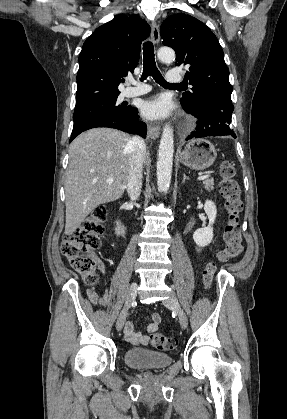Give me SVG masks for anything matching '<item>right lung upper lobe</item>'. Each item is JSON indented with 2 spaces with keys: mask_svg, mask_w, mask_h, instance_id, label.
<instances>
[{
  "mask_svg": "<svg viewBox=\"0 0 287 419\" xmlns=\"http://www.w3.org/2000/svg\"><path fill=\"white\" fill-rule=\"evenodd\" d=\"M150 26L137 15H117L97 28L79 55L75 107L120 94L121 77L133 73Z\"/></svg>",
  "mask_w": 287,
  "mask_h": 419,
  "instance_id": "1",
  "label": "right lung upper lobe"
}]
</instances>
